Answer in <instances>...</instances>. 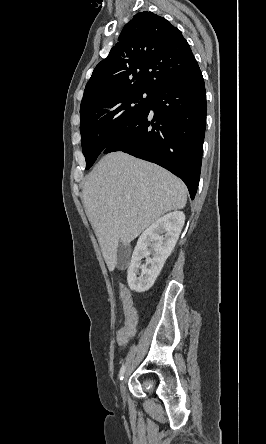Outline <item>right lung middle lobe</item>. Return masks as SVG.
Wrapping results in <instances>:
<instances>
[{
  "instance_id": "obj_1",
  "label": "right lung middle lobe",
  "mask_w": 266,
  "mask_h": 444,
  "mask_svg": "<svg viewBox=\"0 0 266 444\" xmlns=\"http://www.w3.org/2000/svg\"><path fill=\"white\" fill-rule=\"evenodd\" d=\"M146 93L147 97H143ZM152 92L121 90L100 97L80 109L82 152L89 169L111 140L149 109Z\"/></svg>"
}]
</instances>
